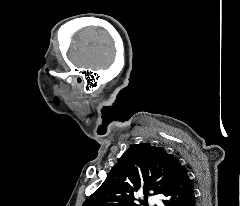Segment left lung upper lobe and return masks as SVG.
Returning a JSON list of instances; mask_svg holds the SVG:
<instances>
[{
    "mask_svg": "<svg viewBox=\"0 0 240 206\" xmlns=\"http://www.w3.org/2000/svg\"><path fill=\"white\" fill-rule=\"evenodd\" d=\"M177 163V159L162 148L147 143L134 144L82 206H138L134 196L138 190H142L145 197L150 190L154 195H164Z\"/></svg>",
    "mask_w": 240,
    "mask_h": 206,
    "instance_id": "5c2ea615",
    "label": "left lung upper lobe"
}]
</instances>
